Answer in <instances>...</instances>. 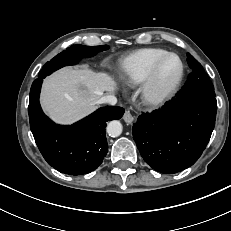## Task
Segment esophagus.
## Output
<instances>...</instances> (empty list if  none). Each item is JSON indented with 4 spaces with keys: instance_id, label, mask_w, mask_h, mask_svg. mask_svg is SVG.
I'll use <instances>...</instances> for the list:
<instances>
[{
    "instance_id": "obj_1",
    "label": "esophagus",
    "mask_w": 231,
    "mask_h": 231,
    "mask_svg": "<svg viewBox=\"0 0 231 231\" xmlns=\"http://www.w3.org/2000/svg\"><path fill=\"white\" fill-rule=\"evenodd\" d=\"M123 119L126 123H132L134 120V117L132 116L131 112L129 110H126Z\"/></svg>"
}]
</instances>
